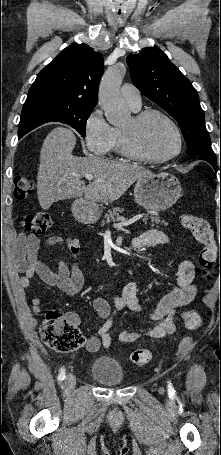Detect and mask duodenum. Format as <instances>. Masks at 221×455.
<instances>
[{
	"mask_svg": "<svg viewBox=\"0 0 221 455\" xmlns=\"http://www.w3.org/2000/svg\"><path fill=\"white\" fill-rule=\"evenodd\" d=\"M77 215H78V218H79V219H81V218H83V217L85 216V214L82 212V210H80V208H79V210H78V212H77ZM140 246H141V245H140L139 241H137L136 239H133V241H132V247H133V248H139Z\"/></svg>",
	"mask_w": 221,
	"mask_h": 455,
	"instance_id": "1",
	"label": "duodenum"
}]
</instances>
